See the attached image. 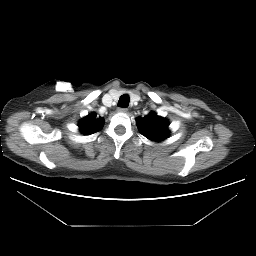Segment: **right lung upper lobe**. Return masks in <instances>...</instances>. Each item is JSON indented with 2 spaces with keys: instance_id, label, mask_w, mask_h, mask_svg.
<instances>
[{
  "instance_id": "cb5924a9",
  "label": "right lung upper lobe",
  "mask_w": 256,
  "mask_h": 256,
  "mask_svg": "<svg viewBox=\"0 0 256 256\" xmlns=\"http://www.w3.org/2000/svg\"><path fill=\"white\" fill-rule=\"evenodd\" d=\"M96 116L95 113L89 114L80 121L79 127L83 134H93L102 128L104 121L101 117L96 118Z\"/></svg>"
}]
</instances>
